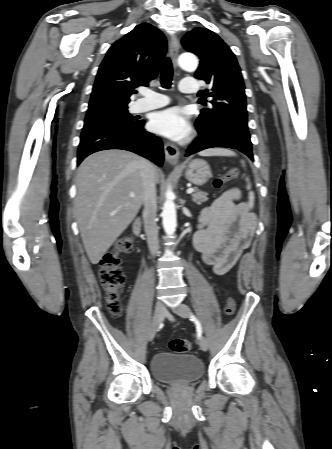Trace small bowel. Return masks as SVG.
I'll return each instance as SVG.
<instances>
[{
	"instance_id": "1",
	"label": "small bowel",
	"mask_w": 332,
	"mask_h": 449,
	"mask_svg": "<svg viewBox=\"0 0 332 449\" xmlns=\"http://www.w3.org/2000/svg\"><path fill=\"white\" fill-rule=\"evenodd\" d=\"M237 189L220 195L206 207L199 217V229L195 235L196 249L205 264L216 275H224L249 247L256 229V220L245 201H239Z\"/></svg>"
}]
</instances>
